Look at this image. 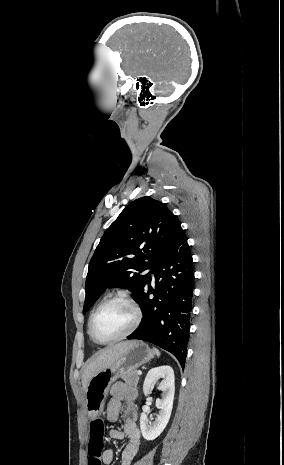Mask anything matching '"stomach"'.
I'll return each instance as SVG.
<instances>
[{
	"mask_svg": "<svg viewBox=\"0 0 284 465\" xmlns=\"http://www.w3.org/2000/svg\"><path fill=\"white\" fill-rule=\"evenodd\" d=\"M154 355V351L142 341H131L127 351L119 357L112 367L103 369L94 375L87 383L85 391V407L88 419H96L102 415L110 387L122 373L136 371L138 367L154 359Z\"/></svg>",
	"mask_w": 284,
	"mask_h": 465,
	"instance_id": "obj_1",
	"label": "stomach"
}]
</instances>
